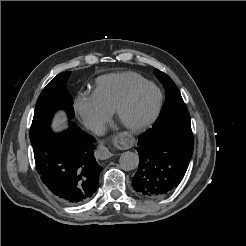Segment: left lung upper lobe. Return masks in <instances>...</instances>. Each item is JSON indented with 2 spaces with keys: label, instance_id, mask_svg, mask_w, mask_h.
Returning <instances> with one entry per match:
<instances>
[{
  "label": "left lung upper lobe",
  "instance_id": "obj_1",
  "mask_svg": "<svg viewBox=\"0 0 246 246\" xmlns=\"http://www.w3.org/2000/svg\"><path fill=\"white\" fill-rule=\"evenodd\" d=\"M155 76L166 90V100L160 115L152 128L164 125H190V115L173 80L158 69Z\"/></svg>",
  "mask_w": 246,
  "mask_h": 246
}]
</instances>
